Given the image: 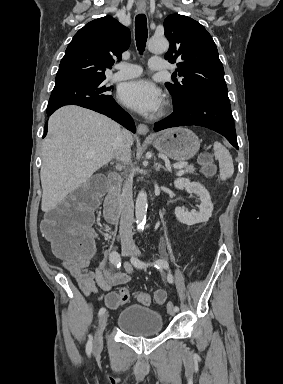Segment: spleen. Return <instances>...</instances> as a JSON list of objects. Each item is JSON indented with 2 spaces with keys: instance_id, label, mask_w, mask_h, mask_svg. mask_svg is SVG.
<instances>
[{
  "instance_id": "1",
  "label": "spleen",
  "mask_w": 283,
  "mask_h": 384,
  "mask_svg": "<svg viewBox=\"0 0 283 384\" xmlns=\"http://www.w3.org/2000/svg\"><path fill=\"white\" fill-rule=\"evenodd\" d=\"M213 150L215 158L219 162L221 180H227V178H231V176L234 174V166L229 150L224 148L220 142H214Z\"/></svg>"
}]
</instances>
